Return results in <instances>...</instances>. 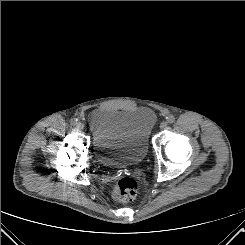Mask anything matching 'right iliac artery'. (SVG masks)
<instances>
[{
  "label": "right iliac artery",
  "mask_w": 245,
  "mask_h": 245,
  "mask_svg": "<svg viewBox=\"0 0 245 245\" xmlns=\"http://www.w3.org/2000/svg\"><path fill=\"white\" fill-rule=\"evenodd\" d=\"M77 123V119L73 118L70 120L71 125H75Z\"/></svg>",
  "instance_id": "obj_1"
}]
</instances>
